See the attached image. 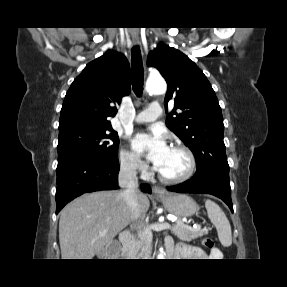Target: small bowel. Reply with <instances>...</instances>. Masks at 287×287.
I'll return each mask as SVG.
<instances>
[{
  "label": "small bowel",
  "mask_w": 287,
  "mask_h": 287,
  "mask_svg": "<svg viewBox=\"0 0 287 287\" xmlns=\"http://www.w3.org/2000/svg\"><path fill=\"white\" fill-rule=\"evenodd\" d=\"M166 246L175 259L197 260L207 258L208 256H220V252L218 250H214L208 254L203 249L188 245L186 243H178L177 245L173 246L170 238L166 239Z\"/></svg>",
  "instance_id": "small-bowel-1"
}]
</instances>
